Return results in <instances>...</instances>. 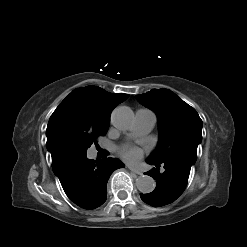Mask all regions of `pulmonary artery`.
Masks as SVG:
<instances>
[{"label": "pulmonary artery", "mask_w": 247, "mask_h": 247, "mask_svg": "<svg viewBox=\"0 0 247 247\" xmlns=\"http://www.w3.org/2000/svg\"><path fill=\"white\" fill-rule=\"evenodd\" d=\"M156 122V115L149 109H138L135 113V122L132 128V135L142 136L149 133Z\"/></svg>", "instance_id": "e3ab8cb5"}]
</instances>
